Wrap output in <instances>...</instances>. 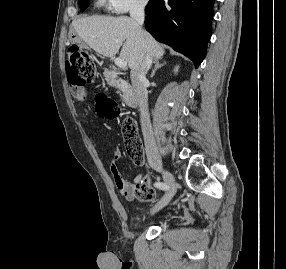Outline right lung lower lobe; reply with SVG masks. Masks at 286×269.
Masks as SVG:
<instances>
[{
	"mask_svg": "<svg viewBox=\"0 0 286 269\" xmlns=\"http://www.w3.org/2000/svg\"><path fill=\"white\" fill-rule=\"evenodd\" d=\"M215 0H156L145 8L146 30L189 57L197 68L211 37Z\"/></svg>",
	"mask_w": 286,
	"mask_h": 269,
	"instance_id": "right-lung-lower-lobe-1",
	"label": "right lung lower lobe"
}]
</instances>
